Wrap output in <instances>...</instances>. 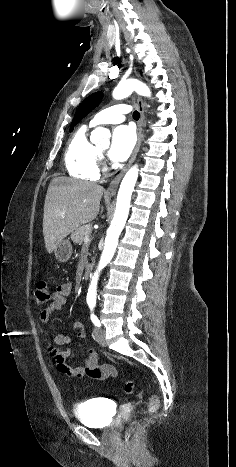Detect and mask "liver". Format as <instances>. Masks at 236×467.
<instances>
[{
	"label": "liver",
	"instance_id": "1",
	"mask_svg": "<svg viewBox=\"0 0 236 467\" xmlns=\"http://www.w3.org/2000/svg\"><path fill=\"white\" fill-rule=\"evenodd\" d=\"M103 192L102 186L91 182L65 177L51 181L43 214V235L48 253H52L72 231L96 218Z\"/></svg>",
	"mask_w": 236,
	"mask_h": 467
}]
</instances>
